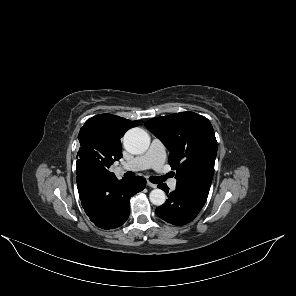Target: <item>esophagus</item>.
I'll return each mask as SVG.
<instances>
[{"instance_id":"1","label":"esophagus","mask_w":296,"mask_h":296,"mask_svg":"<svg viewBox=\"0 0 296 296\" xmlns=\"http://www.w3.org/2000/svg\"><path fill=\"white\" fill-rule=\"evenodd\" d=\"M147 185H148L149 187H151V188H156V187H157L156 184L151 183L150 181H147Z\"/></svg>"}]
</instances>
